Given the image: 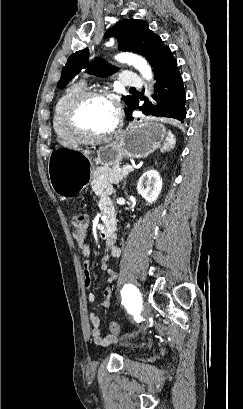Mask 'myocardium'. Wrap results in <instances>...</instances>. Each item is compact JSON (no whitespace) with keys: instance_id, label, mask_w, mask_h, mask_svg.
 <instances>
[{"instance_id":"f54148a6","label":"myocardium","mask_w":243,"mask_h":409,"mask_svg":"<svg viewBox=\"0 0 243 409\" xmlns=\"http://www.w3.org/2000/svg\"><path fill=\"white\" fill-rule=\"evenodd\" d=\"M99 99L107 102L115 114V124L107 132L99 135L87 134L81 127L78 114L81 106L88 100ZM64 123L67 130L81 142H101L109 139L118 131L120 126V113L112 94L101 89H83L75 93L67 102L64 110Z\"/></svg>"}]
</instances>
